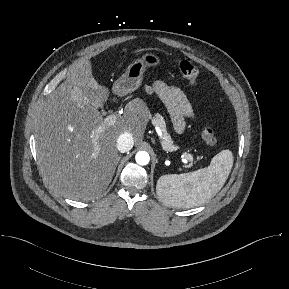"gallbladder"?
<instances>
[{
    "label": "gallbladder",
    "instance_id": "gallbladder-1",
    "mask_svg": "<svg viewBox=\"0 0 289 289\" xmlns=\"http://www.w3.org/2000/svg\"><path fill=\"white\" fill-rule=\"evenodd\" d=\"M95 103L97 104V106H102V103H101V102H98V101L96 102V101H95Z\"/></svg>",
    "mask_w": 289,
    "mask_h": 289
}]
</instances>
